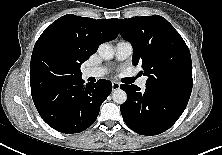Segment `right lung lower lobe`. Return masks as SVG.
I'll list each match as a JSON object with an SVG mask.
<instances>
[{
  "instance_id": "98d812e1",
  "label": "right lung lower lobe",
  "mask_w": 222,
  "mask_h": 155,
  "mask_svg": "<svg viewBox=\"0 0 222 155\" xmlns=\"http://www.w3.org/2000/svg\"><path fill=\"white\" fill-rule=\"evenodd\" d=\"M111 90L110 81L99 80L84 85L80 76L32 93V98L40 116L50 127L73 134L95 122L100 106Z\"/></svg>"
}]
</instances>
